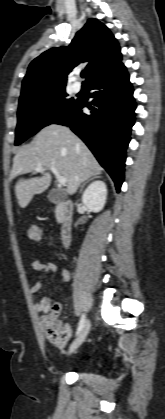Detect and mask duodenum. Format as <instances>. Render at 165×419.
I'll use <instances>...</instances> for the list:
<instances>
[{
    "label": "duodenum",
    "instance_id": "410a0bca",
    "mask_svg": "<svg viewBox=\"0 0 165 419\" xmlns=\"http://www.w3.org/2000/svg\"><path fill=\"white\" fill-rule=\"evenodd\" d=\"M56 205L60 220L61 241L63 246L67 247L72 238L74 205L69 199L61 200Z\"/></svg>",
    "mask_w": 165,
    "mask_h": 419
}]
</instances>
